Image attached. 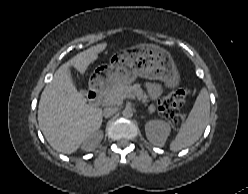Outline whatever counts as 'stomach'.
Wrapping results in <instances>:
<instances>
[{"label": "stomach", "instance_id": "1", "mask_svg": "<svg viewBox=\"0 0 248 194\" xmlns=\"http://www.w3.org/2000/svg\"><path fill=\"white\" fill-rule=\"evenodd\" d=\"M137 76L161 80L167 87L179 83V74L169 52L159 46L143 43L131 52L114 54L110 58L101 86L130 84Z\"/></svg>", "mask_w": 248, "mask_h": 194}]
</instances>
